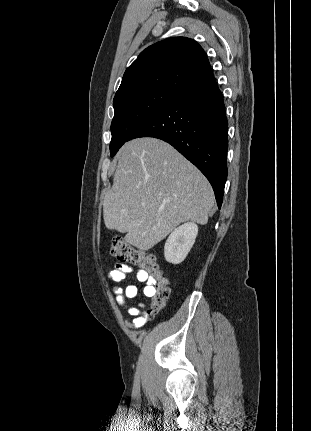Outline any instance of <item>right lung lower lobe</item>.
Instances as JSON below:
<instances>
[{
    "instance_id": "right-lung-lower-lobe-1",
    "label": "right lung lower lobe",
    "mask_w": 311,
    "mask_h": 431,
    "mask_svg": "<svg viewBox=\"0 0 311 431\" xmlns=\"http://www.w3.org/2000/svg\"><path fill=\"white\" fill-rule=\"evenodd\" d=\"M139 137L158 138L177 149L207 177L221 207L227 179L228 122L215 81L181 94L138 126L129 140Z\"/></svg>"
}]
</instances>
